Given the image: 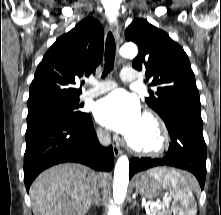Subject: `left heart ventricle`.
Segmentation results:
<instances>
[{"mask_svg":"<svg viewBox=\"0 0 221 215\" xmlns=\"http://www.w3.org/2000/svg\"><path fill=\"white\" fill-rule=\"evenodd\" d=\"M130 139L139 146H151L156 139L155 130L149 123L142 120L139 128Z\"/></svg>","mask_w":221,"mask_h":215,"instance_id":"1","label":"left heart ventricle"}]
</instances>
